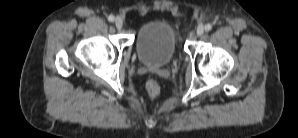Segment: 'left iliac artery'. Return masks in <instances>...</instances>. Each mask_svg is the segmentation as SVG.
Segmentation results:
<instances>
[{
    "label": "left iliac artery",
    "mask_w": 298,
    "mask_h": 138,
    "mask_svg": "<svg viewBox=\"0 0 298 138\" xmlns=\"http://www.w3.org/2000/svg\"><path fill=\"white\" fill-rule=\"evenodd\" d=\"M212 29V25L211 24H206L205 25V30L206 31H210Z\"/></svg>",
    "instance_id": "1"
}]
</instances>
